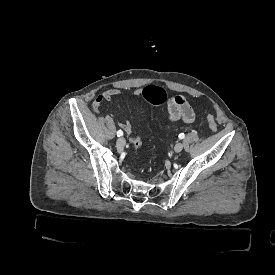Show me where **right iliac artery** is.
I'll list each match as a JSON object with an SVG mask.
<instances>
[{
    "instance_id": "right-iliac-artery-1",
    "label": "right iliac artery",
    "mask_w": 275,
    "mask_h": 275,
    "mask_svg": "<svg viewBox=\"0 0 275 275\" xmlns=\"http://www.w3.org/2000/svg\"><path fill=\"white\" fill-rule=\"evenodd\" d=\"M117 136H118V137L123 136V131H121V130L117 131Z\"/></svg>"
}]
</instances>
